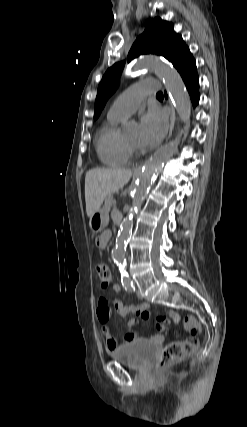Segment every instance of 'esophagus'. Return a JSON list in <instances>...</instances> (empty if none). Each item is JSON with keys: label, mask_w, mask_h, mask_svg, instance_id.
Returning <instances> with one entry per match:
<instances>
[{"label": "esophagus", "mask_w": 247, "mask_h": 427, "mask_svg": "<svg viewBox=\"0 0 247 427\" xmlns=\"http://www.w3.org/2000/svg\"><path fill=\"white\" fill-rule=\"evenodd\" d=\"M175 119H176V114H175V109L173 108V106L171 105V116H170V128H169V134L167 137V140L171 137L173 129H174V124H175ZM143 164H140L138 166H136L134 168V172L136 173H140L142 170Z\"/></svg>", "instance_id": "obj_1"}]
</instances>
